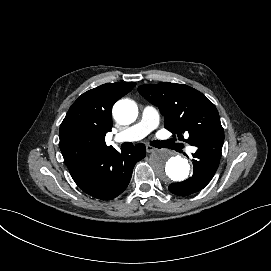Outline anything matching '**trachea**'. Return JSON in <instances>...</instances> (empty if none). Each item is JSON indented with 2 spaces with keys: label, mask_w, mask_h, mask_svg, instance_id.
I'll use <instances>...</instances> for the list:
<instances>
[{
  "label": "trachea",
  "mask_w": 271,
  "mask_h": 271,
  "mask_svg": "<svg viewBox=\"0 0 271 271\" xmlns=\"http://www.w3.org/2000/svg\"><path fill=\"white\" fill-rule=\"evenodd\" d=\"M151 145H152V146H155V147H157V148L165 147L163 141H153V142H151Z\"/></svg>",
  "instance_id": "obj_1"
}]
</instances>
